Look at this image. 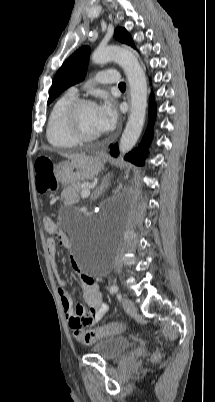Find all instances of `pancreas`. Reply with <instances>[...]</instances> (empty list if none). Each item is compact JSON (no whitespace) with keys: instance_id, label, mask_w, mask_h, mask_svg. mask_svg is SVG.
Segmentation results:
<instances>
[{"instance_id":"obj_1","label":"pancreas","mask_w":215,"mask_h":402,"mask_svg":"<svg viewBox=\"0 0 215 402\" xmlns=\"http://www.w3.org/2000/svg\"><path fill=\"white\" fill-rule=\"evenodd\" d=\"M83 186L82 183H76L73 184L69 187H67L64 190V203L66 205H73L79 202L80 200V192H81V187Z\"/></svg>"}]
</instances>
